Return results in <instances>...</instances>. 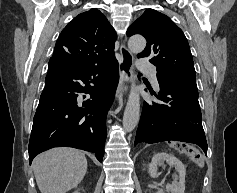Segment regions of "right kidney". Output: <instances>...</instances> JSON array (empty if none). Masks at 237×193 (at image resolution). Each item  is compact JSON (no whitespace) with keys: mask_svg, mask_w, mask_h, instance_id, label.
Wrapping results in <instances>:
<instances>
[{"mask_svg":"<svg viewBox=\"0 0 237 193\" xmlns=\"http://www.w3.org/2000/svg\"><path fill=\"white\" fill-rule=\"evenodd\" d=\"M73 193H79L78 191H74Z\"/></svg>","mask_w":237,"mask_h":193,"instance_id":"right-kidney-1","label":"right kidney"}]
</instances>
